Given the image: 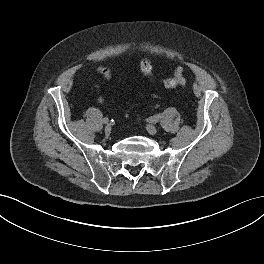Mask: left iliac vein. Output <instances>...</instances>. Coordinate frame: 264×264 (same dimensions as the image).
<instances>
[{
    "mask_svg": "<svg viewBox=\"0 0 264 264\" xmlns=\"http://www.w3.org/2000/svg\"><path fill=\"white\" fill-rule=\"evenodd\" d=\"M146 129L151 135H155L157 133V128L154 125H148Z\"/></svg>",
    "mask_w": 264,
    "mask_h": 264,
    "instance_id": "obj_1",
    "label": "left iliac vein"
}]
</instances>
